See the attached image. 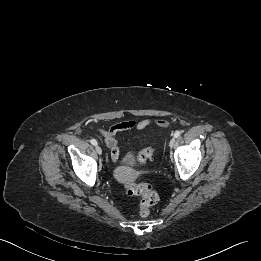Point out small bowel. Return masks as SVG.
Segmentation results:
<instances>
[{
  "label": "small bowel",
  "instance_id": "small-bowel-1",
  "mask_svg": "<svg viewBox=\"0 0 261 261\" xmlns=\"http://www.w3.org/2000/svg\"><path fill=\"white\" fill-rule=\"evenodd\" d=\"M168 124L166 120L143 119L140 121H122L112 125L108 130L98 129L97 134L110 148L111 159L117 161L120 154V144L116 139L118 133L131 129L143 130L150 126L164 128L167 127Z\"/></svg>",
  "mask_w": 261,
  "mask_h": 261
}]
</instances>
